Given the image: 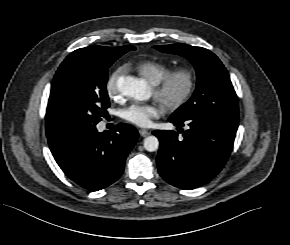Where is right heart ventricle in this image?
<instances>
[{
	"instance_id": "right-heart-ventricle-1",
	"label": "right heart ventricle",
	"mask_w": 290,
	"mask_h": 245,
	"mask_svg": "<svg viewBox=\"0 0 290 245\" xmlns=\"http://www.w3.org/2000/svg\"><path fill=\"white\" fill-rule=\"evenodd\" d=\"M135 69L153 85L160 82L170 72L168 65L154 60L141 61L135 65Z\"/></svg>"
}]
</instances>
